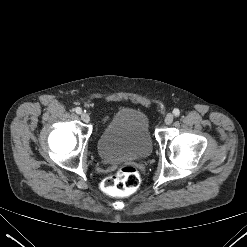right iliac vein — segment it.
I'll use <instances>...</instances> for the list:
<instances>
[{"label": "right iliac vein", "instance_id": "63e3f726", "mask_svg": "<svg viewBox=\"0 0 247 247\" xmlns=\"http://www.w3.org/2000/svg\"><path fill=\"white\" fill-rule=\"evenodd\" d=\"M81 119L83 122L88 123L90 121V116L87 113L83 112L81 114Z\"/></svg>", "mask_w": 247, "mask_h": 247}]
</instances>
